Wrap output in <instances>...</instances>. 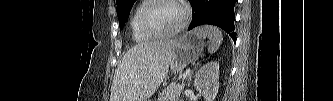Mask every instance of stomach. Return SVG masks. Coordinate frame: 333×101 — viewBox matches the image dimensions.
<instances>
[{"label":"stomach","instance_id":"1","mask_svg":"<svg viewBox=\"0 0 333 101\" xmlns=\"http://www.w3.org/2000/svg\"><path fill=\"white\" fill-rule=\"evenodd\" d=\"M204 46L203 37L194 31L175 39L172 44L171 71L174 73L182 71L202 54Z\"/></svg>","mask_w":333,"mask_h":101}]
</instances>
